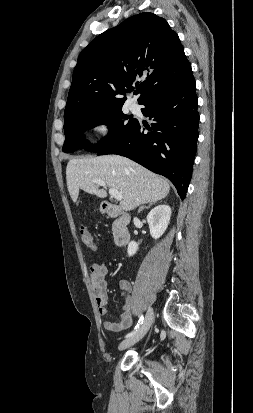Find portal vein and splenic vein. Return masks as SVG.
<instances>
[{
  "label": "portal vein and splenic vein",
  "instance_id": "portal-vein-and-splenic-vein-1",
  "mask_svg": "<svg viewBox=\"0 0 253 413\" xmlns=\"http://www.w3.org/2000/svg\"><path fill=\"white\" fill-rule=\"evenodd\" d=\"M98 186H103L106 187V184L101 181V180H95L94 181ZM109 194L114 197L116 200H122L123 196L122 194L119 193L118 190L114 189V188H110L109 189Z\"/></svg>",
  "mask_w": 253,
  "mask_h": 413
}]
</instances>
